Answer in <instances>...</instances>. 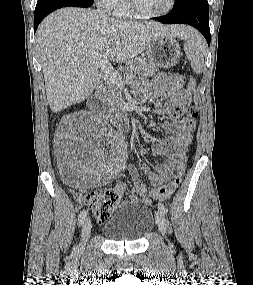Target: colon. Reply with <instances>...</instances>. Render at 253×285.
Listing matches in <instances>:
<instances>
[{"label":"colon","instance_id":"5ec220e1","mask_svg":"<svg viewBox=\"0 0 253 285\" xmlns=\"http://www.w3.org/2000/svg\"><path fill=\"white\" fill-rule=\"evenodd\" d=\"M187 91L189 94L186 112L191 119H196L199 113L198 93L196 80L191 77L188 82ZM184 174V165L178 170L174 178L166 185L154 190L155 193H173L182 182ZM121 194L114 189L101 192H78L76 199L88 205L94 212L99 222L106 221L112 210L120 200Z\"/></svg>","mask_w":253,"mask_h":285}]
</instances>
